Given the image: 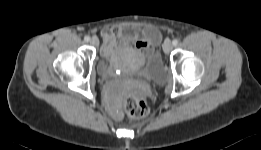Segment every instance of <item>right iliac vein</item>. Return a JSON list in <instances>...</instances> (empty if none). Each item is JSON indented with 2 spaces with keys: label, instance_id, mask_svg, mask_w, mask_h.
Masks as SVG:
<instances>
[{
  "label": "right iliac vein",
  "instance_id": "63e3f726",
  "mask_svg": "<svg viewBox=\"0 0 261 150\" xmlns=\"http://www.w3.org/2000/svg\"><path fill=\"white\" fill-rule=\"evenodd\" d=\"M90 43L94 46H97L99 44L98 38L97 37H92L90 39Z\"/></svg>",
  "mask_w": 261,
  "mask_h": 150
}]
</instances>
